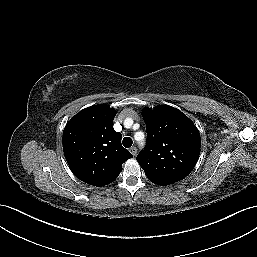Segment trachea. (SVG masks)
<instances>
[{"mask_svg":"<svg viewBox=\"0 0 257 257\" xmlns=\"http://www.w3.org/2000/svg\"><path fill=\"white\" fill-rule=\"evenodd\" d=\"M122 143L125 148H129L132 146L133 141L130 137H125Z\"/></svg>","mask_w":257,"mask_h":257,"instance_id":"trachea-1","label":"trachea"}]
</instances>
